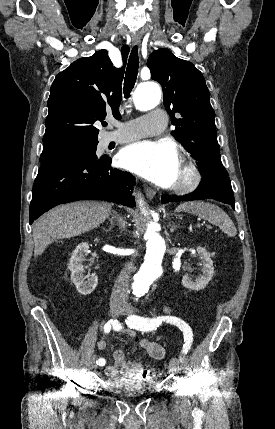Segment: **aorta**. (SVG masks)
<instances>
[{"mask_svg":"<svg viewBox=\"0 0 275 429\" xmlns=\"http://www.w3.org/2000/svg\"><path fill=\"white\" fill-rule=\"evenodd\" d=\"M160 98V88L151 82L140 84L134 93L135 106L142 111L156 107ZM139 205L142 212L145 213L142 200H140ZM144 238L147 241L146 255L143 264L134 276L132 284L133 291L137 296L146 293L150 285L161 275V264L166 251V242L157 232L155 223L148 224Z\"/></svg>","mask_w":275,"mask_h":429,"instance_id":"aorta-1","label":"aorta"}]
</instances>
